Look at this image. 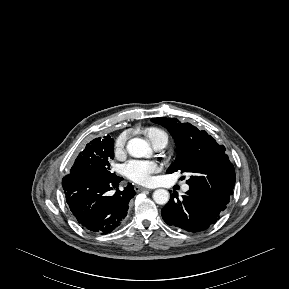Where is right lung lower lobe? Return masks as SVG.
<instances>
[{"label":"right lung lower lobe","instance_id":"98d812e1","mask_svg":"<svg viewBox=\"0 0 289 289\" xmlns=\"http://www.w3.org/2000/svg\"><path fill=\"white\" fill-rule=\"evenodd\" d=\"M123 178L112 174L95 178L76 170L62 179L66 202L79 224L99 234H107L118 227L127 215L129 201L136 194L133 185L118 189ZM116 189L114 195L109 191Z\"/></svg>","mask_w":289,"mask_h":289}]
</instances>
